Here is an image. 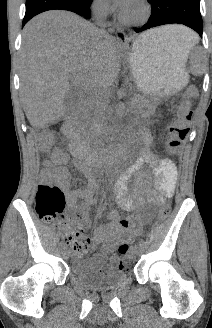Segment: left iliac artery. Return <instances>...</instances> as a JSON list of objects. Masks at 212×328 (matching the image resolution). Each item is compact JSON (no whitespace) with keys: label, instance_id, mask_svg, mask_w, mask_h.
<instances>
[{"label":"left iliac artery","instance_id":"obj_1","mask_svg":"<svg viewBox=\"0 0 212 328\" xmlns=\"http://www.w3.org/2000/svg\"><path fill=\"white\" fill-rule=\"evenodd\" d=\"M139 244L144 246L146 244V242L143 239H140Z\"/></svg>","mask_w":212,"mask_h":328}]
</instances>
